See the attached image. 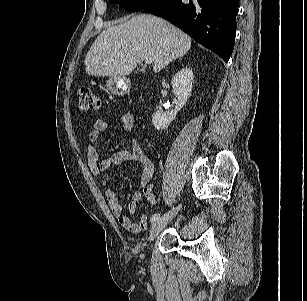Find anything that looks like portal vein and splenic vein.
I'll use <instances>...</instances> for the list:
<instances>
[{"instance_id":"18ae733b","label":"portal vein and splenic vein","mask_w":307,"mask_h":301,"mask_svg":"<svg viewBox=\"0 0 307 301\" xmlns=\"http://www.w3.org/2000/svg\"><path fill=\"white\" fill-rule=\"evenodd\" d=\"M144 61L146 64H151L153 62V59L151 57H145Z\"/></svg>"}]
</instances>
